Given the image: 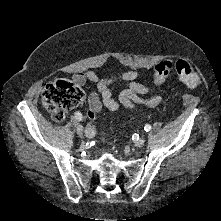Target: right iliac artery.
<instances>
[{"mask_svg":"<svg viewBox=\"0 0 221 221\" xmlns=\"http://www.w3.org/2000/svg\"><path fill=\"white\" fill-rule=\"evenodd\" d=\"M75 118L77 120L81 121L83 117H82V114L80 112H75Z\"/></svg>","mask_w":221,"mask_h":221,"instance_id":"82829eb1","label":"right iliac artery"}]
</instances>
